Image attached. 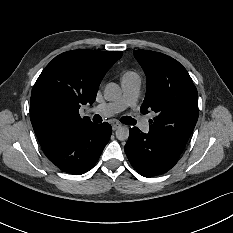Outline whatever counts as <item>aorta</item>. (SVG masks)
<instances>
[{"label": "aorta", "mask_w": 233, "mask_h": 233, "mask_svg": "<svg viewBox=\"0 0 233 233\" xmlns=\"http://www.w3.org/2000/svg\"><path fill=\"white\" fill-rule=\"evenodd\" d=\"M122 95L121 88L118 84L111 82L108 83L104 90V98L107 101H116ZM116 138L120 141H125L129 137V128L127 126H121L116 130Z\"/></svg>", "instance_id": "762f6f07"}]
</instances>
